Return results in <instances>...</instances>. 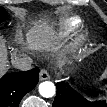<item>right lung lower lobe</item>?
Segmentation results:
<instances>
[{"label": "right lung lower lobe", "instance_id": "right-lung-lower-lobe-1", "mask_svg": "<svg viewBox=\"0 0 107 107\" xmlns=\"http://www.w3.org/2000/svg\"><path fill=\"white\" fill-rule=\"evenodd\" d=\"M39 69L10 73L0 79V107H18L23 96L37 84Z\"/></svg>", "mask_w": 107, "mask_h": 107}]
</instances>
